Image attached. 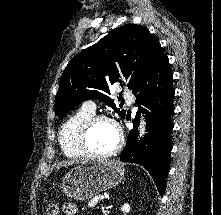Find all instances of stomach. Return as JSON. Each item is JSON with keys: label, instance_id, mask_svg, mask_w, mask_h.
I'll use <instances>...</instances> for the list:
<instances>
[{"label": "stomach", "instance_id": "stomach-1", "mask_svg": "<svg viewBox=\"0 0 221 215\" xmlns=\"http://www.w3.org/2000/svg\"><path fill=\"white\" fill-rule=\"evenodd\" d=\"M123 178L119 162L90 159L72 168L63 177L61 188L68 197L84 201L118 185Z\"/></svg>", "mask_w": 221, "mask_h": 215}]
</instances>
